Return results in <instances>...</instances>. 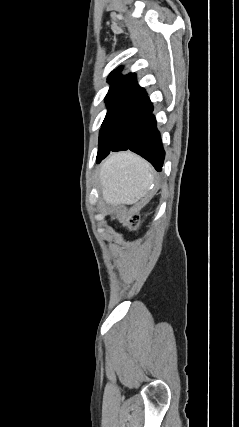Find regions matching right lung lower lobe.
Wrapping results in <instances>:
<instances>
[{"label": "right lung lower lobe", "mask_w": 239, "mask_h": 427, "mask_svg": "<svg viewBox=\"0 0 239 427\" xmlns=\"http://www.w3.org/2000/svg\"><path fill=\"white\" fill-rule=\"evenodd\" d=\"M148 101L150 102V100ZM152 111L153 106L151 104V110L149 114L134 131L129 146L122 150L129 149L137 153L149 161L157 171H161L165 152L162 147L160 133L157 130L156 120L152 114ZM101 160H98L97 163L101 162Z\"/></svg>", "instance_id": "right-lung-lower-lobe-1"}]
</instances>
